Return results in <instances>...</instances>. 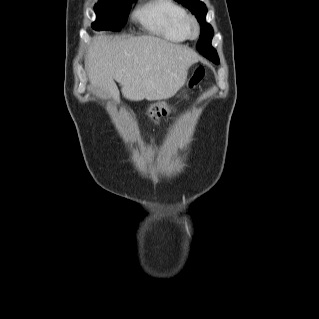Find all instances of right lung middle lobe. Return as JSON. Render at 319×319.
<instances>
[{
	"label": "right lung middle lobe",
	"instance_id": "dd1d6c3e",
	"mask_svg": "<svg viewBox=\"0 0 319 319\" xmlns=\"http://www.w3.org/2000/svg\"><path fill=\"white\" fill-rule=\"evenodd\" d=\"M134 1L136 0H100L94 7L97 20L92 24V28L120 31Z\"/></svg>",
	"mask_w": 319,
	"mask_h": 319
}]
</instances>
